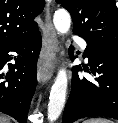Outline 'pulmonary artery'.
Instances as JSON below:
<instances>
[{"instance_id":"pulmonary-artery-1","label":"pulmonary artery","mask_w":118,"mask_h":123,"mask_svg":"<svg viewBox=\"0 0 118 123\" xmlns=\"http://www.w3.org/2000/svg\"><path fill=\"white\" fill-rule=\"evenodd\" d=\"M77 43L83 51L86 50L87 44L83 39H78Z\"/></svg>"}]
</instances>
